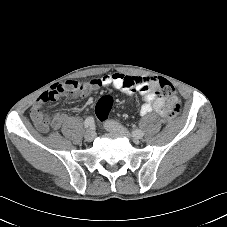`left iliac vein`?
Returning <instances> with one entry per match:
<instances>
[{
    "label": "left iliac vein",
    "instance_id": "obj_1",
    "mask_svg": "<svg viewBox=\"0 0 227 227\" xmlns=\"http://www.w3.org/2000/svg\"><path fill=\"white\" fill-rule=\"evenodd\" d=\"M104 127L109 132L116 133V134H119V135H123V136H126L128 138H132L129 131L127 129H125L123 126H121L120 124L116 123L115 121H106L104 123Z\"/></svg>",
    "mask_w": 227,
    "mask_h": 227
}]
</instances>
